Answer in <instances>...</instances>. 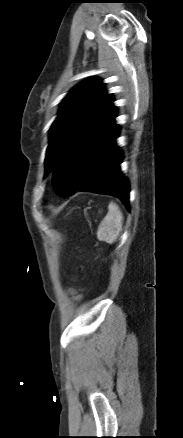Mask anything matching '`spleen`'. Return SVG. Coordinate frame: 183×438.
I'll use <instances>...</instances> for the list:
<instances>
[{"instance_id": "3e777b00", "label": "spleen", "mask_w": 183, "mask_h": 438, "mask_svg": "<svg viewBox=\"0 0 183 438\" xmlns=\"http://www.w3.org/2000/svg\"><path fill=\"white\" fill-rule=\"evenodd\" d=\"M122 225L123 215L119 206L114 202H110L108 213L101 221L97 230L98 240L109 244L114 243L122 231Z\"/></svg>"}]
</instances>
